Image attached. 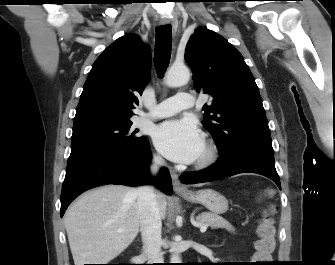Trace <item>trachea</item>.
Instances as JSON below:
<instances>
[{
  "mask_svg": "<svg viewBox=\"0 0 335 265\" xmlns=\"http://www.w3.org/2000/svg\"><path fill=\"white\" fill-rule=\"evenodd\" d=\"M172 28L163 25L156 29L154 63L160 77L165 73L171 58Z\"/></svg>",
  "mask_w": 335,
  "mask_h": 265,
  "instance_id": "trachea-1",
  "label": "trachea"
}]
</instances>
